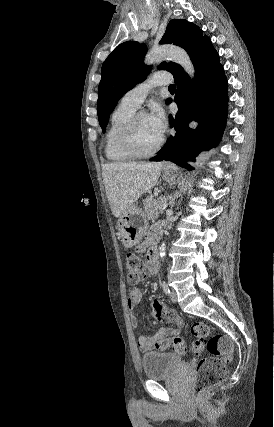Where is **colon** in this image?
Segmentation results:
<instances>
[{"label": "colon", "instance_id": "5ec220e1", "mask_svg": "<svg viewBox=\"0 0 274 427\" xmlns=\"http://www.w3.org/2000/svg\"><path fill=\"white\" fill-rule=\"evenodd\" d=\"M126 265L129 281L136 283L143 274V262L140 255H126ZM196 341L194 348L204 344L209 357L199 360L195 386H192V395H206L207 388L223 382L227 375V362L232 358L234 350L231 341L222 334L210 336L209 327L205 322L194 323L190 327ZM156 347L161 351H174L185 355L187 346L177 338H164L157 341Z\"/></svg>", "mask_w": 274, "mask_h": 427}]
</instances>
